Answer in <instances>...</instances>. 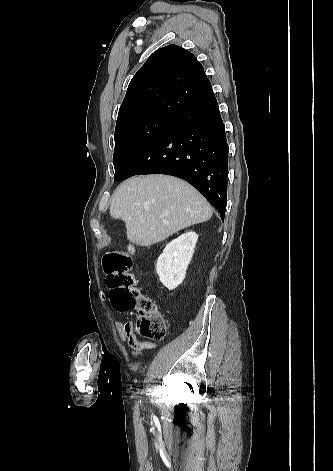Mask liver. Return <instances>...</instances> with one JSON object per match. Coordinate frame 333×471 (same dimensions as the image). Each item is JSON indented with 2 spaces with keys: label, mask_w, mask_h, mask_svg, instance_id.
Masks as SVG:
<instances>
[{
  "label": "liver",
  "mask_w": 333,
  "mask_h": 471,
  "mask_svg": "<svg viewBox=\"0 0 333 471\" xmlns=\"http://www.w3.org/2000/svg\"><path fill=\"white\" fill-rule=\"evenodd\" d=\"M110 215L125 223L130 242L149 247L209 220L212 208L186 181L153 174L121 183L112 195Z\"/></svg>",
  "instance_id": "liver-1"
}]
</instances>
